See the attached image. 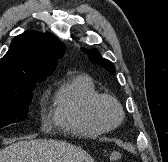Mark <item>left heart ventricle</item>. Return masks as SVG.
I'll use <instances>...</instances> for the list:
<instances>
[{
	"instance_id": "1",
	"label": "left heart ventricle",
	"mask_w": 168,
	"mask_h": 162,
	"mask_svg": "<svg viewBox=\"0 0 168 162\" xmlns=\"http://www.w3.org/2000/svg\"><path fill=\"white\" fill-rule=\"evenodd\" d=\"M104 114L110 120H114L116 118L115 108L111 104H105L103 107Z\"/></svg>"
}]
</instances>
